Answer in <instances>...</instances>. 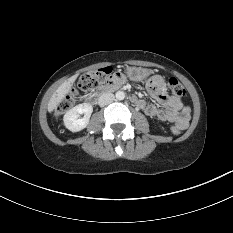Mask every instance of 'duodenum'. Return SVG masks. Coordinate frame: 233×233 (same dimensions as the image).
<instances>
[{
	"mask_svg": "<svg viewBox=\"0 0 233 233\" xmlns=\"http://www.w3.org/2000/svg\"><path fill=\"white\" fill-rule=\"evenodd\" d=\"M117 88H118V85H114V84L107 85V86L103 87L100 91L88 95L86 97V101L90 104H96L101 96H103V95H105L113 90H116ZM130 99L136 105H138L140 103V100L134 95H131Z\"/></svg>",
	"mask_w": 233,
	"mask_h": 233,
	"instance_id": "410a0bca",
	"label": "duodenum"
}]
</instances>
